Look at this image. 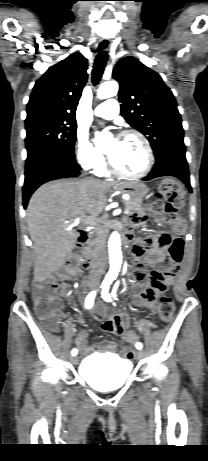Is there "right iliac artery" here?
I'll list each match as a JSON object with an SVG mask.
<instances>
[{
	"mask_svg": "<svg viewBox=\"0 0 208 461\" xmlns=\"http://www.w3.org/2000/svg\"><path fill=\"white\" fill-rule=\"evenodd\" d=\"M95 294H96V291H92L86 298V301H85V307L87 309H90L92 306H93V302H94V298H95ZM77 349H73L72 350V355L75 356L77 355Z\"/></svg>",
	"mask_w": 208,
	"mask_h": 461,
	"instance_id": "right-iliac-artery-1",
	"label": "right iliac artery"
}]
</instances>
